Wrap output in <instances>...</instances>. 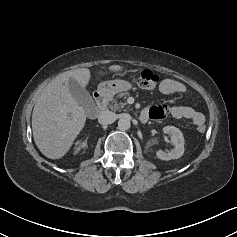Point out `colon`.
<instances>
[{"label": "colon", "mask_w": 237, "mask_h": 237, "mask_svg": "<svg viewBox=\"0 0 237 237\" xmlns=\"http://www.w3.org/2000/svg\"><path fill=\"white\" fill-rule=\"evenodd\" d=\"M134 82H136L141 88L146 90H151L156 88L159 83V76L152 72L151 70L144 69L139 75L133 77ZM204 126L198 128L199 132H204Z\"/></svg>", "instance_id": "colon-1"}]
</instances>
